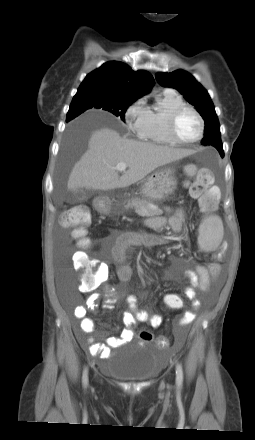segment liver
I'll use <instances>...</instances> for the list:
<instances>
[{
    "label": "liver",
    "instance_id": "obj_1",
    "mask_svg": "<svg viewBox=\"0 0 255 440\" xmlns=\"http://www.w3.org/2000/svg\"><path fill=\"white\" fill-rule=\"evenodd\" d=\"M192 153L188 149L124 139L115 130L102 128L92 133L88 150L73 167L67 187L70 191L125 188L158 167ZM121 162L126 163L128 170L119 176L115 167Z\"/></svg>",
    "mask_w": 255,
    "mask_h": 440
}]
</instances>
